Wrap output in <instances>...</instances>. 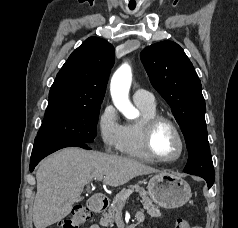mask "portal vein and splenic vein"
I'll return each instance as SVG.
<instances>
[{"instance_id":"obj_1","label":"portal vein and splenic vein","mask_w":238,"mask_h":228,"mask_svg":"<svg viewBox=\"0 0 238 228\" xmlns=\"http://www.w3.org/2000/svg\"><path fill=\"white\" fill-rule=\"evenodd\" d=\"M103 179V177H98L95 180L101 181ZM132 190H129L121 199L126 201V199L131 195Z\"/></svg>"}]
</instances>
